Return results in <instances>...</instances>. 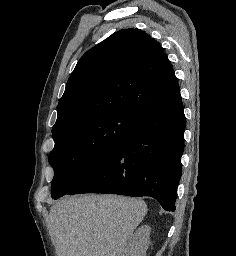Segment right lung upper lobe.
Segmentation results:
<instances>
[{"label":"right lung upper lobe","instance_id":"cb5924a9","mask_svg":"<svg viewBox=\"0 0 236 256\" xmlns=\"http://www.w3.org/2000/svg\"><path fill=\"white\" fill-rule=\"evenodd\" d=\"M179 94L161 45L140 29L120 30L81 57L59 101L52 132L116 112L140 120Z\"/></svg>","mask_w":236,"mask_h":256}]
</instances>
